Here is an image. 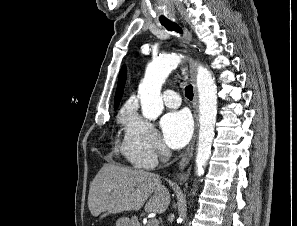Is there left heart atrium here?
<instances>
[{"mask_svg":"<svg viewBox=\"0 0 297 226\" xmlns=\"http://www.w3.org/2000/svg\"><path fill=\"white\" fill-rule=\"evenodd\" d=\"M166 144L173 149H180L190 140L193 124L185 111H174L163 116L160 122Z\"/></svg>","mask_w":297,"mask_h":226,"instance_id":"left-heart-atrium-1","label":"left heart atrium"}]
</instances>
